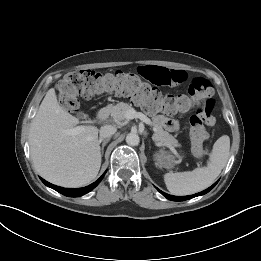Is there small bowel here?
<instances>
[{"mask_svg": "<svg viewBox=\"0 0 261 261\" xmlns=\"http://www.w3.org/2000/svg\"><path fill=\"white\" fill-rule=\"evenodd\" d=\"M139 72L155 85H178L187 79V73L183 70H171L160 66H142L139 68ZM154 121L167 131H176L178 128L175 120L163 115L155 116Z\"/></svg>", "mask_w": 261, "mask_h": 261, "instance_id": "c3829d8e", "label": "small bowel"}]
</instances>
